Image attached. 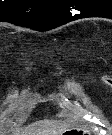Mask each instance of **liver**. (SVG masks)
I'll list each match as a JSON object with an SVG mask.
<instances>
[{
    "label": "liver",
    "instance_id": "1",
    "mask_svg": "<svg viewBox=\"0 0 112 135\" xmlns=\"http://www.w3.org/2000/svg\"><path fill=\"white\" fill-rule=\"evenodd\" d=\"M38 129L39 131H36ZM64 132V129L57 123L52 121H40L26 130L24 135H60Z\"/></svg>",
    "mask_w": 112,
    "mask_h": 135
}]
</instances>
